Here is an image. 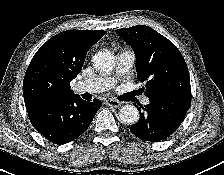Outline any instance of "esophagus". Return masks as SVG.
<instances>
[{"label": "esophagus", "mask_w": 224, "mask_h": 175, "mask_svg": "<svg viewBox=\"0 0 224 175\" xmlns=\"http://www.w3.org/2000/svg\"><path fill=\"white\" fill-rule=\"evenodd\" d=\"M121 102L115 99H108L106 100V105L114 107V108H118L121 106Z\"/></svg>", "instance_id": "obj_1"}]
</instances>
